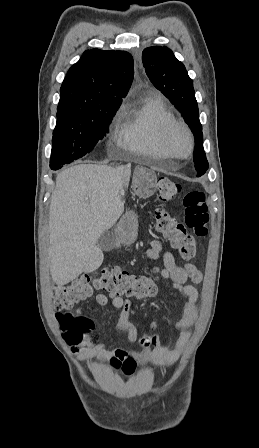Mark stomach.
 Segmentation results:
<instances>
[{
	"mask_svg": "<svg viewBox=\"0 0 259 448\" xmlns=\"http://www.w3.org/2000/svg\"><path fill=\"white\" fill-rule=\"evenodd\" d=\"M139 220L138 212H125L123 218H121L118 226L115 228V234L118 242L120 244H133L137 238L138 234V224Z\"/></svg>",
	"mask_w": 259,
	"mask_h": 448,
	"instance_id": "obj_1",
	"label": "stomach"
}]
</instances>
